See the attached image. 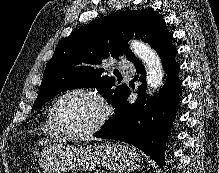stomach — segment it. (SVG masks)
Segmentation results:
<instances>
[{
  "instance_id": "obj_1",
  "label": "stomach",
  "mask_w": 219,
  "mask_h": 173,
  "mask_svg": "<svg viewBox=\"0 0 219 173\" xmlns=\"http://www.w3.org/2000/svg\"><path fill=\"white\" fill-rule=\"evenodd\" d=\"M38 158L44 173L86 171L97 166L106 167L115 173H129L140 164L137 152L122 143L103 146L52 143L43 148Z\"/></svg>"
}]
</instances>
